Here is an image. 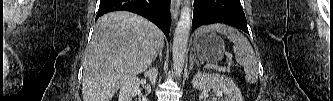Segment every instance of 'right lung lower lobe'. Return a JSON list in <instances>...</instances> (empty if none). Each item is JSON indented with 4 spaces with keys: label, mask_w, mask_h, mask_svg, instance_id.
<instances>
[{
    "label": "right lung lower lobe",
    "mask_w": 333,
    "mask_h": 101,
    "mask_svg": "<svg viewBox=\"0 0 333 101\" xmlns=\"http://www.w3.org/2000/svg\"><path fill=\"white\" fill-rule=\"evenodd\" d=\"M125 10L139 14L156 24L165 34L170 30V0H100L97 20L105 13Z\"/></svg>",
    "instance_id": "obj_1"
}]
</instances>
